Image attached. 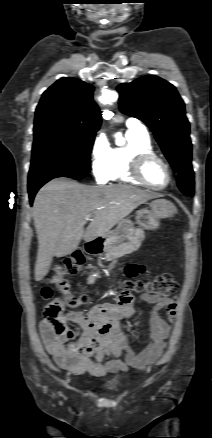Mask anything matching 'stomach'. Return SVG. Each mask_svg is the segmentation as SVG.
<instances>
[{"instance_id": "0dacf381", "label": "stomach", "mask_w": 212, "mask_h": 438, "mask_svg": "<svg viewBox=\"0 0 212 438\" xmlns=\"http://www.w3.org/2000/svg\"><path fill=\"white\" fill-rule=\"evenodd\" d=\"M176 211V207L170 201L157 199L150 203L149 208L137 212L136 221L147 230H156L160 226L161 219L173 216ZM134 230L129 220L119 222L115 230L104 237L106 249L125 241L132 236Z\"/></svg>"}]
</instances>
